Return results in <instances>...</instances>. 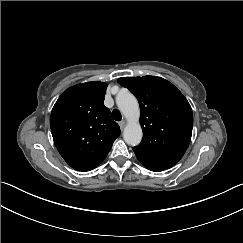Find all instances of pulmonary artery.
<instances>
[{
    "mask_svg": "<svg viewBox=\"0 0 243 243\" xmlns=\"http://www.w3.org/2000/svg\"><path fill=\"white\" fill-rule=\"evenodd\" d=\"M117 104L119 107H121L124 104V99H119Z\"/></svg>",
    "mask_w": 243,
    "mask_h": 243,
    "instance_id": "e3ab8cb5",
    "label": "pulmonary artery"
}]
</instances>
